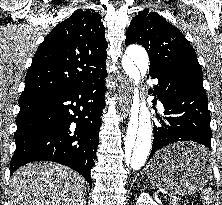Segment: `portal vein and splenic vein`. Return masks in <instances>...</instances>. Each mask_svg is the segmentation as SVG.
I'll return each mask as SVG.
<instances>
[{
  "label": "portal vein and splenic vein",
  "mask_w": 222,
  "mask_h": 205,
  "mask_svg": "<svg viewBox=\"0 0 222 205\" xmlns=\"http://www.w3.org/2000/svg\"><path fill=\"white\" fill-rule=\"evenodd\" d=\"M160 192H162L163 194L169 196V197H173L172 194L170 192H167L165 190H160ZM175 202H178V200H180L179 198L173 197Z\"/></svg>",
  "instance_id": "1"
}]
</instances>
